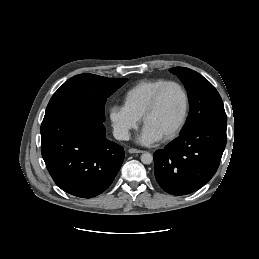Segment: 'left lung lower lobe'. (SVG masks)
<instances>
[{
    "mask_svg": "<svg viewBox=\"0 0 259 259\" xmlns=\"http://www.w3.org/2000/svg\"><path fill=\"white\" fill-rule=\"evenodd\" d=\"M226 128L227 120H206L155 151V177L160 187L172 195H186L204 186L219 167Z\"/></svg>",
    "mask_w": 259,
    "mask_h": 259,
    "instance_id": "1",
    "label": "left lung lower lobe"
}]
</instances>
